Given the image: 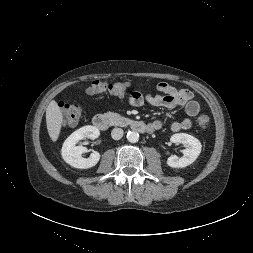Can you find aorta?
I'll return each mask as SVG.
<instances>
[{
	"label": "aorta",
	"instance_id": "aorta-1",
	"mask_svg": "<svg viewBox=\"0 0 253 253\" xmlns=\"http://www.w3.org/2000/svg\"><path fill=\"white\" fill-rule=\"evenodd\" d=\"M127 140L131 143H136L139 140V134L136 131H128Z\"/></svg>",
	"mask_w": 253,
	"mask_h": 253
}]
</instances>
